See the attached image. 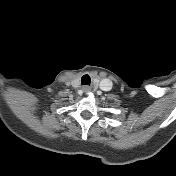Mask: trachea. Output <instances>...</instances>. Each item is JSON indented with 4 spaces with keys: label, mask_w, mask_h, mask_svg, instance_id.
<instances>
[{
    "label": "trachea",
    "mask_w": 176,
    "mask_h": 176,
    "mask_svg": "<svg viewBox=\"0 0 176 176\" xmlns=\"http://www.w3.org/2000/svg\"><path fill=\"white\" fill-rule=\"evenodd\" d=\"M90 76L89 75H84L81 79L82 84L90 85Z\"/></svg>",
    "instance_id": "1"
}]
</instances>
